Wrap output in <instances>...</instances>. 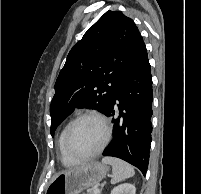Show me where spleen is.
Instances as JSON below:
<instances>
[{"label": "spleen", "mask_w": 201, "mask_h": 194, "mask_svg": "<svg viewBox=\"0 0 201 194\" xmlns=\"http://www.w3.org/2000/svg\"><path fill=\"white\" fill-rule=\"evenodd\" d=\"M102 163L112 166L111 184L119 183L135 174L133 167L121 159L104 157Z\"/></svg>", "instance_id": "3e777b00"}]
</instances>
